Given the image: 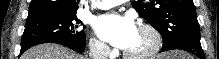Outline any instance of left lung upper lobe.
Here are the masks:
<instances>
[{"mask_svg":"<svg viewBox=\"0 0 219 59\" xmlns=\"http://www.w3.org/2000/svg\"><path fill=\"white\" fill-rule=\"evenodd\" d=\"M132 5L141 17L160 32L163 46L185 35H200L193 0H139Z\"/></svg>","mask_w":219,"mask_h":59,"instance_id":"obj_1","label":"left lung upper lobe"}]
</instances>
